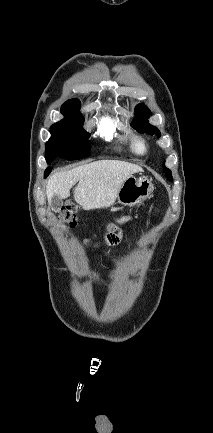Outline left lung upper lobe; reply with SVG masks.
Here are the masks:
<instances>
[{
    "instance_id": "obj_1",
    "label": "left lung upper lobe",
    "mask_w": 213,
    "mask_h": 433,
    "mask_svg": "<svg viewBox=\"0 0 213 433\" xmlns=\"http://www.w3.org/2000/svg\"><path fill=\"white\" fill-rule=\"evenodd\" d=\"M135 111L137 113V116L133 120L132 126L139 132H145L150 135L156 134L160 136V131L156 127L148 123L147 119L149 118L150 110L144 104H139L136 106ZM163 171L164 173H166L165 176L167 177V179L169 181H173L171 171L166 168L165 165H163Z\"/></svg>"
}]
</instances>
